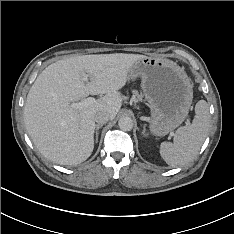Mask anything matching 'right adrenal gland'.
<instances>
[{
  "instance_id": "right-adrenal-gland-1",
  "label": "right adrenal gland",
  "mask_w": 234,
  "mask_h": 234,
  "mask_svg": "<svg viewBox=\"0 0 234 234\" xmlns=\"http://www.w3.org/2000/svg\"><path fill=\"white\" fill-rule=\"evenodd\" d=\"M101 127H102V125H97V126H96V129H95V140H96V142L98 141V135H99L98 130H99Z\"/></svg>"
}]
</instances>
